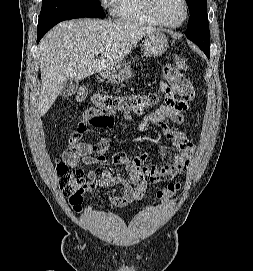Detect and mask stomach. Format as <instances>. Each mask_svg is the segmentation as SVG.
Returning a JSON list of instances; mask_svg holds the SVG:
<instances>
[{"mask_svg":"<svg viewBox=\"0 0 253 271\" xmlns=\"http://www.w3.org/2000/svg\"><path fill=\"white\" fill-rule=\"evenodd\" d=\"M168 48V39L160 31L149 33L143 41V52L149 57H159ZM132 75L129 63H119L101 73V76L109 83H121Z\"/></svg>","mask_w":253,"mask_h":271,"instance_id":"1","label":"stomach"}]
</instances>
